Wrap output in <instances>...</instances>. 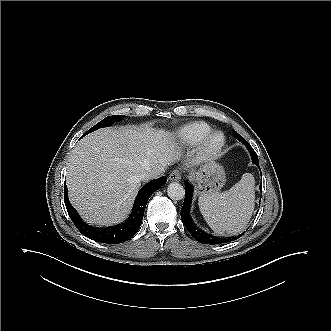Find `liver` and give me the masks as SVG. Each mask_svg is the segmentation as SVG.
Segmentation results:
<instances>
[{
  "mask_svg": "<svg viewBox=\"0 0 331 331\" xmlns=\"http://www.w3.org/2000/svg\"><path fill=\"white\" fill-rule=\"evenodd\" d=\"M180 156L175 138L162 129H99L79 141L69 157L70 202L91 225L119 223L130 212L141 175L165 169Z\"/></svg>",
  "mask_w": 331,
  "mask_h": 331,
  "instance_id": "obj_1",
  "label": "liver"
}]
</instances>
